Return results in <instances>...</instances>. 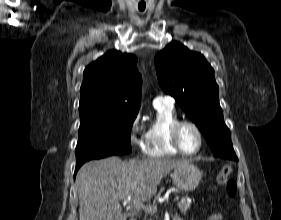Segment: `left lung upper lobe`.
Returning <instances> with one entry per match:
<instances>
[{
	"label": "left lung upper lobe",
	"instance_id": "5c2ea615",
	"mask_svg": "<svg viewBox=\"0 0 281 220\" xmlns=\"http://www.w3.org/2000/svg\"><path fill=\"white\" fill-rule=\"evenodd\" d=\"M155 65L160 86L198 126L213 155L237 161L219 104L214 69L205 57L172 42L157 53Z\"/></svg>",
	"mask_w": 281,
	"mask_h": 220
}]
</instances>
